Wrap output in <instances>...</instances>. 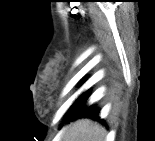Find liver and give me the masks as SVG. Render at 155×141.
Masks as SVG:
<instances>
[{"label": "liver", "mask_w": 155, "mask_h": 141, "mask_svg": "<svg viewBox=\"0 0 155 141\" xmlns=\"http://www.w3.org/2000/svg\"><path fill=\"white\" fill-rule=\"evenodd\" d=\"M106 131L89 119H79L72 123L63 136V141H104Z\"/></svg>", "instance_id": "6515ba94"}]
</instances>
